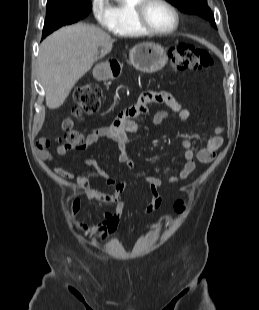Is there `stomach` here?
Instances as JSON below:
<instances>
[{
  "mask_svg": "<svg viewBox=\"0 0 259 310\" xmlns=\"http://www.w3.org/2000/svg\"><path fill=\"white\" fill-rule=\"evenodd\" d=\"M131 65L142 72L153 73L161 70L168 61L167 51L155 43H141L130 50ZM107 73H102L99 78H105Z\"/></svg>",
  "mask_w": 259,
  "mask_h": 310,
  "instance_id": "1",
  "label": "stomach"
}]
</instances>
